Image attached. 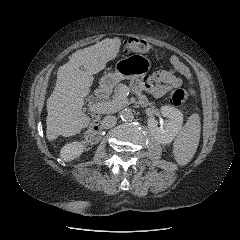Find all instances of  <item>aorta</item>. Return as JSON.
Segmentation results:
<instances>
[{
  "label": "aorta",
  "instance_id": "1",
  "mask_svg": "<svg viewBox=\"0 0 240 240\" xmlns=\"http://www.w3.org/2000/svg\"><path fill=\"white\" fill-rule=\"evenodd\" d=\"M120 118L125 122H130L133 120L134 116L130 109H123L120 111Z\"/></svg>",
  "mask_w": 240,
  "mask_h": 240
}]
</instances>
